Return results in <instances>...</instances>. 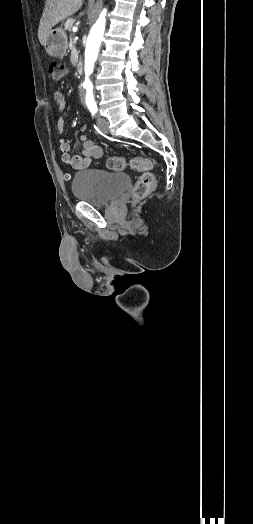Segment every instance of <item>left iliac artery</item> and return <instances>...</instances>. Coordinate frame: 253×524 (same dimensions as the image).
Segmentation results:
<instances>
[{
	"label": "left iliac artery",
	"mask_w": 253,
	"mask_h": 524,
	"mask_svg": "<svg viewBox=\"0 0 253 524\" xmlns=\"http://www.w3.org/2000/svg\"><path fill=\"white\" fill-rule=\"evenodd\" d=\"M87 106L93 115L97 114L98 108L94 101L87 103Z\"/></svg>",
	"instance_id": "obj_1"
}]
</instances>
